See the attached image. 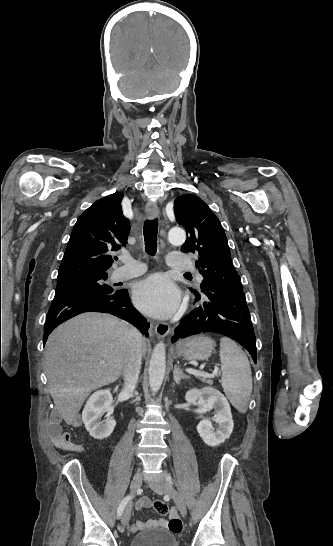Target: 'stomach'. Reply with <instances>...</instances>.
<instances>
[{"instance_id": "stomach-1", "label": "stomach", "mask_w": 333, "mask_h": 546, "mask_svg": "<svg viewBox=\"0 0 333 546\" xmlns=\"http://www.w3.org/2000/svg\"><path fill=\"white\" fill-rule=\"evenodd\" d=\"M214 346L215 342L210 337L196 335L178 345L176 354L190 360H206L210 357Z\"/></svg>"}]
</instances>
